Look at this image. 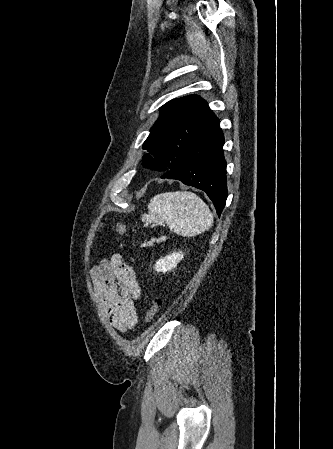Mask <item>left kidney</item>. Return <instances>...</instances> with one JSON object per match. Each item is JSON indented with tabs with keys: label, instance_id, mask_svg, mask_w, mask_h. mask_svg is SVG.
<instances>
[{
	"label": "left kidney",
	"instance_id": "left-kidney-1",
	"mask_svg": "<svg viewBox=\"0 0 333 449\" xmlns=\"http://www.w3.org/2000/svg\"><path fill=\"white\" fill-rule=\"evenodd\" d=\"M182 252H174L172 254H169L165 256L164 258L159 259V261L155 264V270L157 272H167L168 270H171L172 268L176 267L178 262L182 260L183 258Z\"/></svg>",
	"mask_w": 333,
	"mask_h": 449
}]
</instances>
